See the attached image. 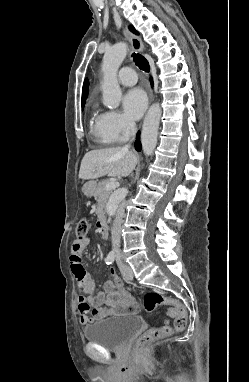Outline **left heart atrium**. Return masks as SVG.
<instances>
[{
  "label": "left heart atrium",
  "mask_w": 249,
  "mask_h": 382,
  "mask_svg": "<svg viewBox=\"0 0 249 382\" xmlns=\"http://www.w3.org/2000/svg\"><path fill=\"white\" fill-rule=\"evenodd\" d=\"M147 107V96L140 88L129 90L123 98L125 114L132 120H138Z\"/></svg>",
  "instance_id": "1"
}]
</instances>
